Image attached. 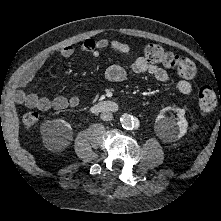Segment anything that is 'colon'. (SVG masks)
Masks as SVG:
<instances>
[{
	"instance_id": "obj_1",
	"label": "colon",
	"mask_w": 221,
	"mask_h": 221,
	"mask_svg": "<svg viewBox=\"0 0 221 221\" xmlns=\"http://www.w3.org/2000/svg\"><path fill=\"white\" fill-rule=\"evenodd\" d=\"M145 58L150 63H160L166 68L175 69L177 73L185 78L192 79L197 74V67L194 61L181 57L173 52L165 50L157 43L146 44L143 48ZM217 106V95L215 91L204 86L199 91V108L202 114L213 111ZM39 115L35 111H25L21 115V123L25 128H33L37 125Z\"/></svg>"
}]
</instances>
